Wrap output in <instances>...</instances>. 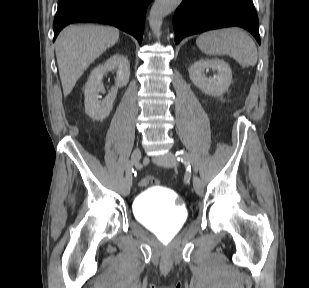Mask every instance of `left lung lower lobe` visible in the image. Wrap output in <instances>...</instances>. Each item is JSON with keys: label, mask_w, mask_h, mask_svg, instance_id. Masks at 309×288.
I'll return each instance as SVG.
<instances>
[{"label": "left lung lower lobe", "mask_w": 309, "mask_h": 288, "mask_svg": "<svg viewBox=\"0 0 309 288\" xmlns=\"http://www.w3.org/2000/svg\"><path fill=\"white\" fill-rule=\"evenodd\" d=\"M173 26L176 44L186 36L229 26L245 28L260 44L252 0H183L176 9Z\"/></svg>", "instance_id": "obj_1"}]
</instances>
